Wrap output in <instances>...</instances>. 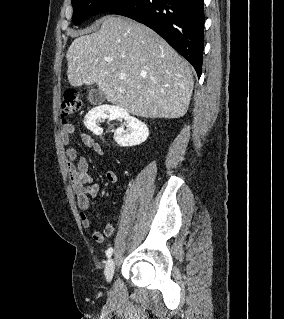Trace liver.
Segmentation results:
<instances>
[{"mask_svg":"<svg viewBox=\"0 0 284 319\" xmlns=\"http://www.w3.org/2000/svg\"><path fill=\"white\" fill-rule=\"evenodd\" d=\"M66 58L71 86L96 84L128 113L179 118L188 110L194 85L190 64L143 24L106 16L98 31L74 39Z\"/></svg>","mask_w":284,"mask_h":319,"instance_id":"1","label":"liver"}]
</instances>
